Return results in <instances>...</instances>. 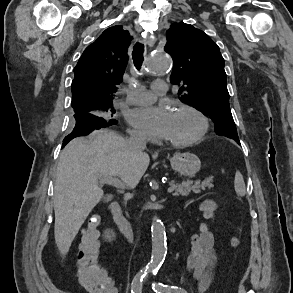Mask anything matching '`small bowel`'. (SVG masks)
Segmentation results:
<instances>
[{
  "mask_svg": "<svg viewBox=\"0 0 293 293\" xmlns=\"http://www.w3.org/2000/svg\"><path fill=\"white\" fill-rule=\"evenodd\" d=\"M199 208L205 221L200 224L199 232L191 236V252L186 261V268L198 279L199 292L204 293L212 282L215 266L214 235L206 221L214 218L216 203L211 199H206ZM109 280L114 288V293H117L113 280L110 277Z\"/></svg>",
  "mask_w": 293,
  "mask_h": 293,
  "instance_id": "small-bowel-1",
  "label": "small bowel"
}]
</instances>
